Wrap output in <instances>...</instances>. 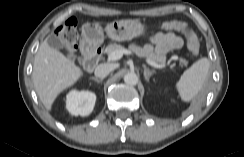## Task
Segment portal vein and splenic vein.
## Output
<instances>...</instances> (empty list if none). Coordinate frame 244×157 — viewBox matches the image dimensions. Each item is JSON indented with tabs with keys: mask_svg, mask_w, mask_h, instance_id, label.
Returning <instances> with one entry per match:
<instances>
[{
	"mask_svg": "<svg viewBox=\"0 0 244 157\" xmlns=\"http://www.w3.org/2000/svg\"><path fill=\"white\" fill-rule=\"evenodd\" d=\"M124 54L132 55L133 52H131L129 50H126V49L125 50H121V51H114L113 53L108 55V61H117V60L121 59ZM146 62L149 65H151V66H153L155 68H159L160 69V68L165 67V64H158V63L150 60L149 58L146 59Z\"/></svg>",
	"mask_w": 244,
	"mask_h": 157,
	"instance_id": "portal-vein-and-splenic-vein-1",
	"label": "portal vein and splenic vein"
}]
</instances>
